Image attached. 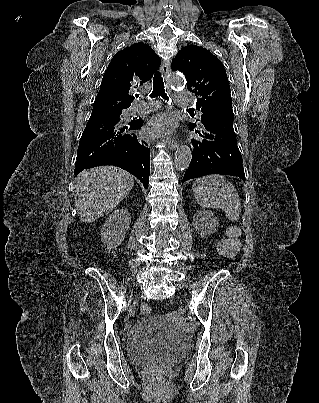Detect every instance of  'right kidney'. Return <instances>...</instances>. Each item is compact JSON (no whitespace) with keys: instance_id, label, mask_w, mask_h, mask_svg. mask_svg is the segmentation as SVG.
Returning <instances> with one entry per match:
<instances>
[{"instance_id":"1","label":"right kidney","mask_w":319,"mask_h":403,"mask_svg":"<svg viewBox=\"0 0 319 403\" xmlns=\"http://www.w3.org/2000/svg\"><path fill=\"white\" fill-rule=\"evenodd\" d=\"M131 217L126 209L115 210L105 221L100 231L101 241L107 248H116L124 240L130 228Z\"/></svg>"}]
</instances>
